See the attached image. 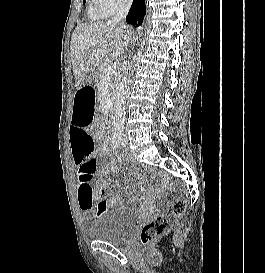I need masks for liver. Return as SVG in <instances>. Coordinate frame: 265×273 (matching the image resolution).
<instances>
[{"label": "liver", "mask_w": 265, "mask_h": 273, "mask_svg": "<svg viewBox=\"0 0 265 273\" xmlns=\"http://www.w3.org/2000/svg\"><path fill=\"white\" fill-rule=\"evenodd\" d=\"M131 32L110 21L78 25L71 37L70 51L76 88L109 57L122 56L131 40Z\"/></svg>", "instance_id": "6515ba94"}]
</instances>
